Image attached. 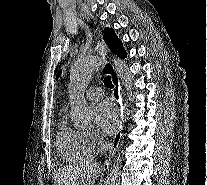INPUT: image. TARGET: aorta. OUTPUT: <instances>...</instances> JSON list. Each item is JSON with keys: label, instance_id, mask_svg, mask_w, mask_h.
<instances>
[{"label": "aorta", "instance_id": "aorta-1", "mask_svg": "<svg viewBox=\"0 0 207 185\" xmlns=\"http://www.w3.org/2000/svg\"><path fill=\"white\" fill-rule=\"evenodd\" d=\"M102 58L87 56L77 60L70 71L68 85L72 116L74 125L79 129H90L93 126L94 112L84 98L85 90L92 79L93 74L101 66ZM114 64L122 80V84L131 93L133 76L125 62L114 60ZM121 155L118 154L113 160L110 173L105 185H120Z\"/></svg>", "mask_w": 207, "mask_h": 185}]
</instances>
